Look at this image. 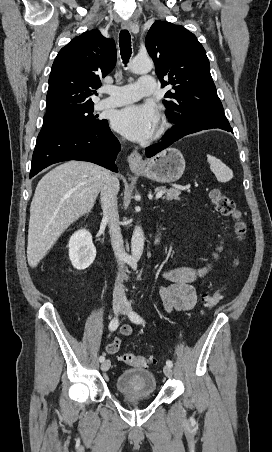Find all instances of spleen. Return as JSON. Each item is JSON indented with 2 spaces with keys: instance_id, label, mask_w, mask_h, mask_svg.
<instances>
[{
  "instance_id": "spleen-1",
  "label": "spleen",
  "mask_w": 272,
  "mask_h": 452,
  "mask_svg": "<svg viewBox=\"0 0 272 452\" xmlns=\"http://www.w3.org/2000/svg\"><path fill=\"white\" fill-rule=\"evenodd\" d=\"M207 161L210 164L211 171L215 174L219 182L225 183L233 178L232 170L218 158L207 155Z\"/></svg>"
}]
</instances>
